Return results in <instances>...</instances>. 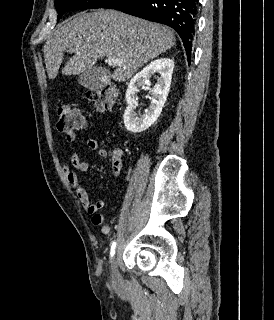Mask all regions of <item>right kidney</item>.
Here are the masks:
<instances>
[{
  "label": "right kidney",
  "instance_id": "ca27d5eb",
  "mask_svg": "<svg viewBox=\"0 0 274 320\" xmlns=\"http://www.w3.org/2000/svg\"><path fill=\"white\" fill-rule=\"evenodd\" d=\"M173 68V60L159 58V60H154L149 66L143 68L130 80L125 96L127 108L123 116L124 126L128 132H132V134L145 132L159 118L169 94ZM155 74H160V78L151 90L152 96L149 98L151 104L147 110H144L143 116H138L135 112L138 100L137 92H139L141 86H151L149 78L155 76Z\"/></svg>",
  "mask_w": 274,
  "mask_h": 320
}]
</instances>
